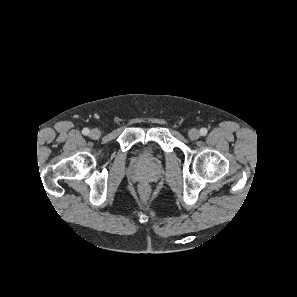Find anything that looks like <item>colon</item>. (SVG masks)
Listing matches in <instances>:
<instances>
[{
  "instance_id": "5ec220e1",
  "label": "colon",
  "mask_w": 297,
  "mask_h": 297,
  "mask_svg": "<svg viewBox=\"0 0 297 297\" xmlns=\"http://www.w3.org/2000/svg\"><path fill=\"white\" fill-rule=\"evenodd\" d=\"M141 194H142L143 197H147L148 194H149V187L146 186V185H143L141 187Z\"/></svg>"
}]
</instances>
